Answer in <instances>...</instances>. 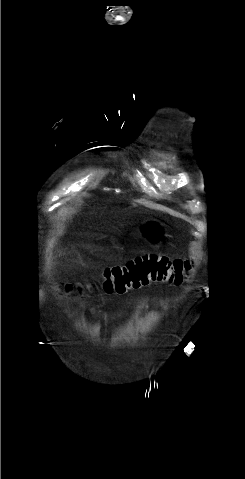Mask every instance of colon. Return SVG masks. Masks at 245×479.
<instances>
[{
    "instance_id": "1",
    "label": "colon",
    "mask_w": 245,
    "mask_h": 479,
    "mask_svg": "<svg viewBox=\"0 0 245 479\" xmlns=\"http://www.w3.org/2000/svg\"><path fill=\"white\" fill-rule=\"evenodd\" d=\"M192 268L189 260L169 259L157 254L134 257L103 271L102 287L108 293H124L155 282L181 284Z\"/></svg>"
}]
</instances>
